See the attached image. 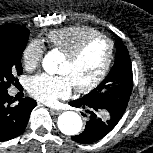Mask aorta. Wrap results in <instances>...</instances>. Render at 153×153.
<instances>
[{"mask_svg": "<svg viewBox=\"0 0 153 153\" xmlns=\"http://www.w3.org/2000/svg\"><path fill=\"white\" fill-rule=\"evenodd\" d=\"M42 66L45 72L50 75L56 73L58 62L53 52H49L42 61ZM58 128L65 135L78 134L83 126L81 117L72 111H66L58 117Z\"/></svg>", "mask_w": 153, "mask_h": 153, "instance_id": "1", "label": "aorta"}]
</instances>
